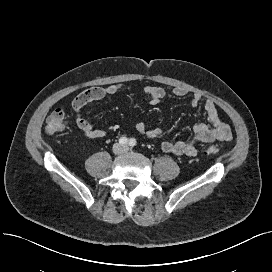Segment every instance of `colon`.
I'll use <instances>...</instances> for the list:
<instances>
[{"instance_id":"5ec220e1","label":"colon","mask_w":272,"mask_h":272,"mask_svg":"<svg viewBox=\"0 0 272 272\" xmlns=\"http://www.w3.org/2000/svg\"><path fill=\"white\" fill-rule=\"evenodd\" d=\"M66 127L65 111L63 109H57L53 111L46 120V133L49 135H55L63 131ZM204 154L211 155L218 153L217 146H207L202 149Z\"/></svg>"}]
</instances>
